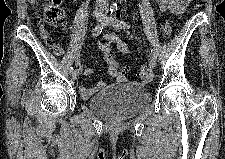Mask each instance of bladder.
Returning a JSON list of instances; mask_svg holds the SVG:
<instances>
[{
  "label": "bladder",
  "mask_w": 225,
  "mask_h": 159,
  "mask_svg": "<svg viewBox=\"0 0 225 159\" xmlns=\"http://www.w3.org/2000/svg\"><path fill=\"white\" fill-rule=\"evenodd\" d=\"M151 102L143 87L130 83L107 86L88 100L90 109L107 120H127L138 115Z\"/></svg>",
  "instance_id": "1"
}]
</instances>
